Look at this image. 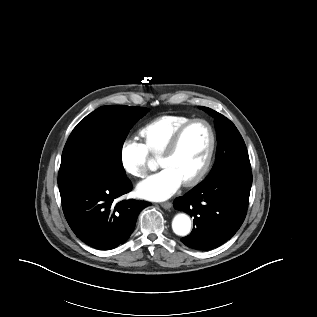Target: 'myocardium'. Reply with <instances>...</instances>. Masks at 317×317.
I'll list each match as a JSON object with an SVG mask.
<instances>
[{"label": "myocardium", "instance_id": "obj_1", "mask_svg": "<svg viewBox=\"0 0 317 317\" xmlns=\"http://www.w3.org/2000/svg\"><path fill=\"white\" fill-rule=\"evenodd\" d=\"M198 123L204 124L208 129L209 136H210L209 148H208L206 157H205L201 167L199 168V170L193 176H191L190 178L183 181V184L185 186H193V185L199 183L204 178V176L207 174V172L210 168V165H211V162H212V159L214 156V152H215V147H216V136H215V132H214L212 125L207 120L201 119V118H194V119L189 120L187 123L182 125L175 132V134L170 139L168 145L166 146V148L164 149V151L160 155V159L172 156L176 152V150L178 149L180 142L182 140V137L184 136L186 131L191 126H193L194 124H198Z\"/></svg>", "mask_w": 317, "mask_h": 317}]
</instances>
